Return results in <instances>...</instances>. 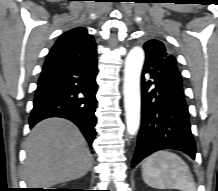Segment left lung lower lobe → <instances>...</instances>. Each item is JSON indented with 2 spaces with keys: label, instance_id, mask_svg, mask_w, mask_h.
Returning a JSON list of instances; mask_svg holds the SVG:
<instances>
[{
  "label": "left lung lower lobe",
  "instance_id": "left-lung-lower-lobe-1",
  "mask_svg": "<svg viewBox=\"0 0 218 191\" xmlns=\"http://www.w3.org/2000/svg\"><path fill=\"white\" fill-rule=\"evenodd\" d=\"M151 75L145 81L144 74ZM145 62L142 74L141 128L132 167L151 153L177 149L195 158L196 145L190 130L188 106L183 87L175 82L166 86L167 78Z\"/></svg>",
  "mask_w": 218,
  "mask_h": 191
}]
</instances>
